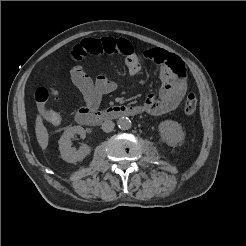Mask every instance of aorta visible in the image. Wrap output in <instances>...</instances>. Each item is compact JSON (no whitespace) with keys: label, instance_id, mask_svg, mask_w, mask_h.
Returning <instances> with one entry per match:
<instances>
[{"label":"aorta","instance_id":"aorta-1","mask_svg":"<svg viewBox=\"0 0 246 246\" xmlns=\"http://www.w3.org/2000/svg\"><path fill=\"white\" fill-rule=\"evenodd\" d=\"M117 125L121 130H128L131 128V120L128 117H121L118 119Z\"/></svg>","mask_w":246,"mask_h":246}]
</instances>
